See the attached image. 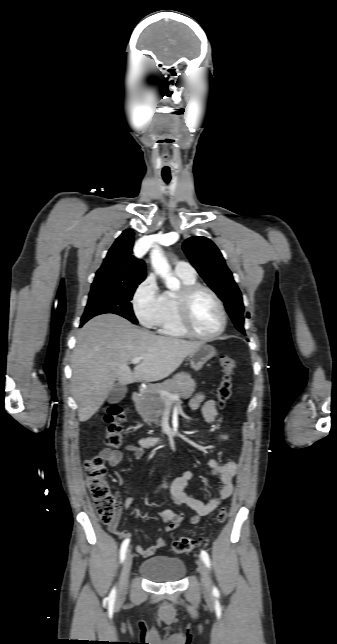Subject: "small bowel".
<instances>
[{"mask_svg":"<svg viewBox=\"0 0 337 644\" xmlns=\"http://www.w3.org/2000/svg\"><path fill=\"white\" fill-rule=\"evenodd\" d=\"M190 408L192 410L200 409L207 423L211 424L217 419L216 404L213 399H207L204 393H199L190 401ZM229 438L227 434H220L217 436L218 441H225ZM123 452L131 453L136 459H141L144 456V449L136 444L127 443L123 450H113L105 448L101 451L100 457L104 459L111 467L118 466L123 459ZM210 475L221 484L220 494L217 497L210 499L208 502H203L196 498L189 496L185 492V488L189 480L193 477L190 469L183 472L180 477L171 481H164L162 487L168 488L173 500L176 504L185 505L194 511V516L191 517L190 522L195 524L202 517L213 512L224 500L229 498L233 493V478L237 472L238 464L235 461H227L224 464L218 463L216 460H209L208 462ZM121 490L126 494L123 505L119 508L115 520L108 524L109 530L119 537L120 539H130V532L121 529L119 526V518L121 514L131 508L134 500L128 493V487L125 483L120 484ZM159 516L164 520L166 526L164 530L170 532L175 530L184 520L182 513H176L171 509H163L159 512ZM166 538H158L152 546L143 547L141 545L135 546V550L142 557L152 556L157 549L167 545Z\"/></svg>","mask_w":337,"mask_h":644,"instance_id":"obj_1","label":"small bowel"}]
</instances>
